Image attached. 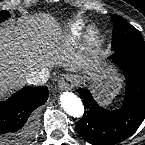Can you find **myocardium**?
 I'll return each mask as SVG.
<instances>
[{
	"label": "myocardium",
	"instance_id": "myocardium-1",
	"mask_svg": "<svg viewBox=\"0 0 145 145\" xmlns=\"http://www.w3.org/2000/svg\"><path fill=\"white\" fill-rule=\"evenodd\" d=\"M100 31L95 26H88L84 31V43L86 48L94 49L100 44Z\"/></svg>",
	"mask_w": 145,
	"mask_h": 145
}]
</instances>
